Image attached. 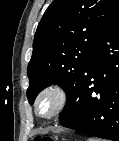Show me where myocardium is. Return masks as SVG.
<instances>
[{
    "instance_id": "f54148a6",
    "label": "myocardium",
    "mask_w": 119,
    "mask_h": 141,
    "mask_svg": "<svg viewBox=\"0 0 119 141\" xmlns=\"http://www.w3.org/2000/svg\"><path fill=\"white\" fill-rule=\"evenodd\" d=\"M50 97L53 99L52 110L45 115L39 112V105L41 101ZM69 101L67 90L60 84L52 83L42 88L34 99V112L42 120L48 121L57 117L65 109Z\"/></svg>"
}]
</instances>
